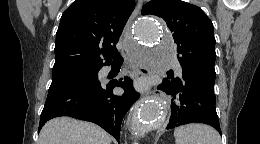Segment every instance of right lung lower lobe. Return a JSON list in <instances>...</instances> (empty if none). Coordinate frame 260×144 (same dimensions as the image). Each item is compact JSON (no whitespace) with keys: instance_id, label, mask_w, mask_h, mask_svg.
Wrapping results in <instances>:
<instances>
[{"instance_id":"obj_1","label":"right lung lower lobe","mask_w":260,"mask_h":144,"mask_svg":"<svg viewBox=\"0 0 260 144\" xmlns=\"http://www.w3.org/2000/svg\"><path fill=\"white\" fill-rule=\"evenodd\" d=\"M115 86L124 88L125 93L114 95L112 89ZM138 98L129 78L107 84L96 78L52 85L41 113L39 130L54 117L70 116L96 123L119 141L123 117Z\"/></svg>"}]
</instances>
